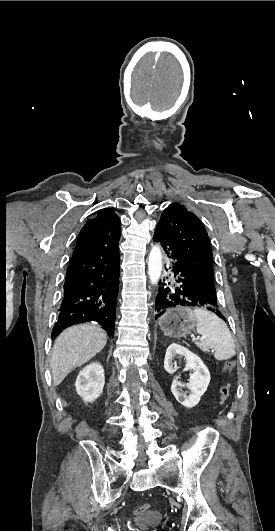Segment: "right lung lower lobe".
<instances>
[{
    "mask_svg": "<svg viewBox=\"0 0 275 531\" xmlns=\"http://www.w3.org/2000/svg\"><path fill=\"white\" fill-rule=\"evenodd\" d=\"M120 234L98 236L76 245L66 272L64 298L52 338L77 323L95 321L114 335L118 296Z\"/></svg>",
    "mask_w": 275,
    "mask_h": 531,
    "instance_id": "1",
    "label": "right lung lower lobe"
}]
</instances>
